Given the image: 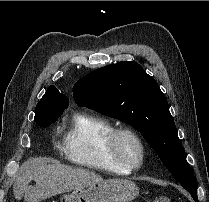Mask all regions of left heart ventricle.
<instances>
[{
  "label": "left heart ventricle",
  "instance_id": "1",
  "mask_svg": "<svg viewBox=\"0 0 209 202\" xmlns=\"http://www.w3.org/2000/svg\"><path fill=\"white\" fill-rule=\"evenodd\" d=\"M119 149L122 154L131 159H137L139 150L136 142L130 137H122L119 141Z\"/></svg>",
  "mask_w": 209,
  "mask_h": 202
}]
</instances>
